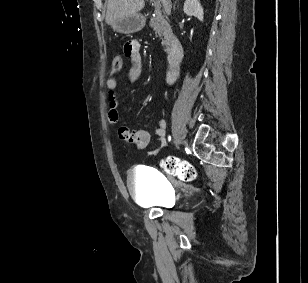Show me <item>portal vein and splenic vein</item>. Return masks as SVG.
<instances>
[{
  "label": "portal vein and splenic vein",
  "instance_id": "portal-vein-and-splenic-vein-1",
  "mask_svg": "<svg viewBox=\"0 0 308 283\" xmlns=\"http://www.w3.org/2000/svg\"><path fill=\"white\" fill-rule=\"evenodd\" d=\"M154 6H155V9L158 11L160 9V7H161L160 0H156L154 2Z\"/></svg>",
  "mask_w": 308,
  "mask_h": 283
}]
</instances>
